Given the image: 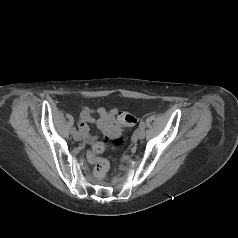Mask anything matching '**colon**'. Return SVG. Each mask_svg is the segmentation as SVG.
Here are the masks:
<instances>
[{
	"label": "colon",
	"mask_w": 238,
	"mask_h": 238,
	"mask_svg": "<svg viewBox=\"0 0 238 238\" xmlns=\"http://www.w3.org/2000/svg\"><path fill=\"white\" fill-rule=\"evenodd\" d=\"M117 121L121 125H126L127 127H132L136 123V118L132 114H127L126 112H121L117 116ZM105 149L103 143L97 145L88 153V159L94 163V175L97 178H103L109 170V162L106 159L97 157V154L101 153Z\"/></svg>",
	"instance_id": "obj_1"
}]
</instances>
